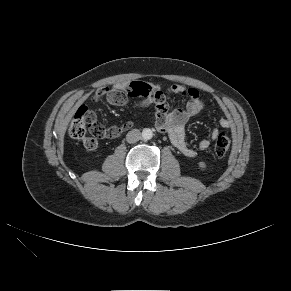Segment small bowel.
Segmentation results:
<instances>
[{
	"label": "small bowel",
	"instance_id": "obj_1",
	"mask_svg": "<svg viewBox=\"0 0 291 291\" xmlns=\"http://www.w3.org/2000/svg\"><path fill=\"white\" fill-rule=\"evenodd\" d=\"M168 94H179L188 97L184 108L170 110L167 103ZM105 96L107 102L113 106H126L131 101L138 107H145L153 104L156 108L155 127L158 131L167 133L172 144L186 157H194L196 151L191 148L186 141L185 125L188 120L200 113L205 107V100L199 91L182 84H174L166 91H162L158 86L149 85L138 81H126L116 83L110 88L100 89L96 92L93 100ZM222 128H229L231 122L227 118L219 121ZM219 134L218 129H213L211 138L215 139ZM89 143H84L87 149H94L97 141L91 139ZM210 146V140L204 138L200 140L198 147L205 150Z\"/></svg>",
	"mask_w": 291,
	"mask_h": 291
}]
</instances>
